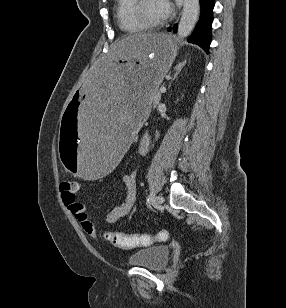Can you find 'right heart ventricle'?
Segmentation results:
<instances>
[{
	"mask_svg": "<svg viewBox=\"0 0 286 308\" xmlns=\"http://www.w3.org/2000/svg\"><path fill=\"white\" fill-rule=\"evenodd\" d=\"M135 0H116V19L119 28L127 34H135L145 30L133 17L132 6Z\"/></svg>",
	"mask_w": 286,
	"mask_h": 308,
	"instance_id": "right-heart-ventricle-1",
	"label": "right heart ventricle"
}]
</instances>
